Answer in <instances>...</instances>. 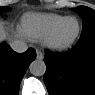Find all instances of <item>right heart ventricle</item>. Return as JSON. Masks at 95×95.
Returning <instances> with one entry per match:
<instances>
[{
  "mask_svg": "<svg viewBox=\"0 0 95 95\" xmlns=\"http://www.w3.org/2000/svg\"><path fill=\"white\" fill-rule=\"evenodd\" d=\"M65 18L55 13H27L22 18V30L32 40H44Z\"/></svg>",
  "mask_w": 95,
  "mask_h": 95,
  "instance_id": "right-heart-ventricle-1",
  "label": "right heart ventricle"
}]
</instances>
